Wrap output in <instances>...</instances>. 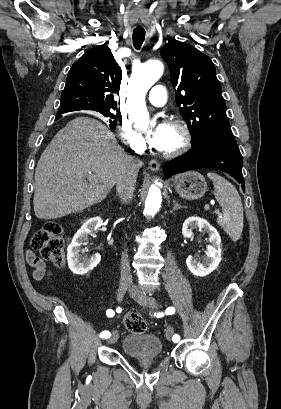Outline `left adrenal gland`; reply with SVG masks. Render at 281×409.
Segmentation results:
<instances>
[{
	"label": "left adrenal gland",
	"instance_id": "1",
	"mask_svg": "<svg viewBox=\"0 0 281 409\" xmlns=\"http://www.w3.org/2000/svg\"><path fill=\"white\" fill-rule=\"evenodd\" d=\"M177 209H187V207H180L177 200H173V211H177Z\"/></svg>",
	"mask_w": 281,
	"mask_h": 409
}]
</instances>
